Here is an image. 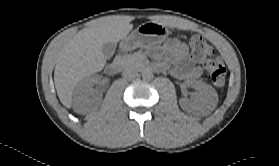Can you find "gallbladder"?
Masks as SVG:
<instances>
[{"instance_id": "obj_1", "label": "gallbladder", "mask_w": 279, "mask_h": 166, "mask_svg": "<svg viewBox=\"0 0 279 166\" xmlns=\"http://www.w3.org/2000/svg\"><path fill=\"white\" fill-rule=\"evenodd\" d=\"M116 50V43L107 42L102 46V52L106 59H110Z\"/></svg>"}]
</instances>
